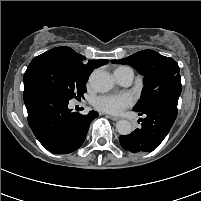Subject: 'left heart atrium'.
<instances>
[{"label":"left heart atrium","mask_w":201,"mask_h":201,"mask_svg":"<svg viewBox=\"0 0 201 201\" xmlns=\"http://www.w3.org/2000/svg\"><path fill=\"white\" fill-rule=\"evenodd\" d=\"M132 103L133 99L128 94L101 95L93 101L96 109L110 114H118Z\"/></svg>","instance_id":"obj_1"}]
</instances>
